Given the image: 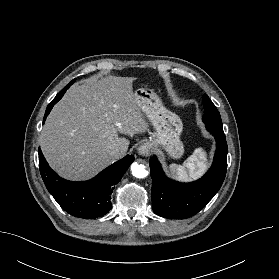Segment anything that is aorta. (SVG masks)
I'll use <instances>...</instances> for the list:
<instances>
[{
  "instance_id": "aorta-1",
  "label": "aorta",
  "mask_w": 279,
  "mask_h": 279,
  "mask_svg": "<svg viewBox=\"0 0 279 279\" xmlns=\"http://www.w3.org/2000/svg\"><path fill=\"white\" fill-rule=\"evenodd\" d=\"M132 175L136 178H145L148 175L146 167L142 164L133 163L131 165Z\"/></svg>"
}]
</instances>
